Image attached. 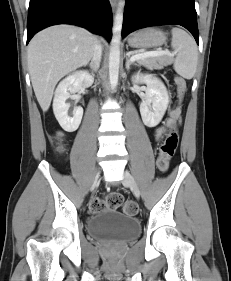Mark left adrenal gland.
Here are the masks:
<instances>
[{
    "mask_svg": "<svg viewBox=\"0 0 231 281\" xmlns=\"http://www.w3.org/2000/svg\"><path fill=\"white\" fill-rule=\"evenodd\" d=\"M131 65H132V63H130L128 57L126 56V63H125L126 69L129 70Z\"/></svg>",
    "mask_w": 231,
    "mask_h": 281,
    "instance_id": "1",
    "label": "left adrenal gland"
}]
</instances>
